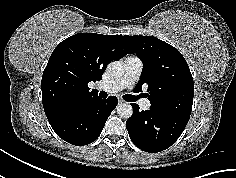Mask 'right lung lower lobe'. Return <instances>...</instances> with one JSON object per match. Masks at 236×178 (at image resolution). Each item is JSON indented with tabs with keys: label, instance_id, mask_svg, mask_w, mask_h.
Wrapping results in <instances>:
<instances>
[{
	"label": "right lung lower lobe",
	"instance_id": "right-lung-lower-lobe-1",
	"mask_svg": "<svg viewBox=\"0 0 236 178\" xmlns=\"http://www.w3.org/2000/svg\"><path fill=\"white\" fill-rule=\"evenodd\" d=\"M118 100L114 96L108 99H96L83 109L59 116L49 121L55 133L64 141L83 146L95 141Z\"/></svg>",
	"mask_w": 236,
	"mask_h": 178
}]
</instances>
